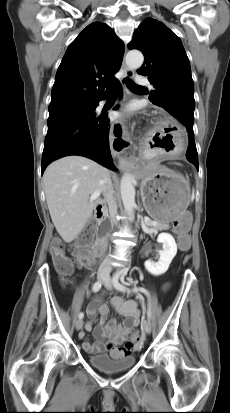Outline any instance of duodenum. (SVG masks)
<instances>
[{
	"mask_svg": "<svg viewBox=\"0 0 230 413\" xmlns=\"http://www.w3.org/2000/svg\"><path fill=\"white\" fill-rule=\"evenodd\" d=\"M95 215L96 219L101 227L99 231V238L97 240L96 245L93 247V254L98 255L101 252V247H102V242H103V236L105 233V227L106 222L108 219L107 211L105 209V205L103 201H98L95 209Z\"/></svg>",
	"mask_w": 230,
	"mask_h": 413,
	"instance_id": "duodenum-1",
	"label": "duodenum"
}]
</instances>
